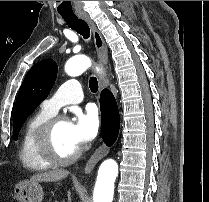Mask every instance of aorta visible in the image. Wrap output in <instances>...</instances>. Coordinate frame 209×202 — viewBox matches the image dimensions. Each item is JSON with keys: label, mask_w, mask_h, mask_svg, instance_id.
<instances>
[{"label": "aorta", "mask_w": 209, "mask_h": 202, "mask_svg": "<svg viewBox=\"0 0 209 202\" xmlns=\"http://www.w3.org/2000/svg\"><path fill=\"white\" fill-rule=\"evenodd\" d=\"M91 65L85 55L70 58L65 64V72L72 77L84 73ZM118 175V165L115 160L107 159L99 167L93 192V202H112L114 183Z\"/></svg>", "instance_id": "762f6f07"}]
</instances>
